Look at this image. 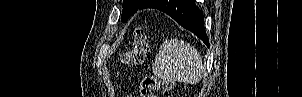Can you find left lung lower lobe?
I'll use <instances>...</instances> for the list:
<instances>
[{
    "label": "left lung lower lobe",
    "instance_id": "0a47b994",
    "mask_svg": "<svg viewBox=\"0 0 302 97\" xmlns=\"http://www.w3.org/2000/svg\"><path fill=\"white\" fill-rule=\"evenodd\" d=\"M146 8H155L170 15L209 46L203 24V14L195 5L194 0H151L150 5Z\"/></svg>",
    "mask_w": 302,
    "mask_h": 97
}]
</instances>
